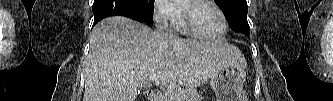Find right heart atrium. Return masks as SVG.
Returning a JSON list of instances; mask_svg holds the SVG:
<instances>
[{
  "label": "right heart atrium",
  "mask_w": 333,
  "mask_h": 101,
  "mask_svg": "<svg viewBox=\"0 0 333 101\" xmlns=\"http://www.w3.org/2000/svg\"><path fill=\"white\" fill-rule=\"evenodd\" d=\"M153 19L160 27H167L176 16V7L169 0H155L153 5Z\"/></svg>",
  "instance_id": "1"
}]
</instances>
